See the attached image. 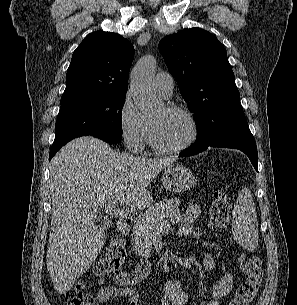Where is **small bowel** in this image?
Instances as JSON below:
<instances>
[{
	"mask_svg": "<svg viewBox=\"0 0 297 305\" xmlns=\"http://www.w3.org/2000/svg\"><path fill=\"white\" fill-rule=\"evenodd\" d=\"M201 215V210L196 205L187 208L184 219L179 227L178 233L181 237L189 236L195 221ZM231 243L239 244V239L232 234L229 237ZM204 263L208 268L215 267L213 256L209 252L204 253ZM151 270L148 261L138 263L133 271H122L113 276L115 286H102L95 294V305H103L111 300L126 299L127 305H138L139 294L133 287L147 278ZM234 277L226 274L220 277L212 286L210 298L200 305H220L232 291ZM188 295L178 279H169L164 286V294L160 299V305H188Z\"/></svg>",
	"mask_w": 297,
	"mask_h": 305,
	"instance_id": "1",
	"label": "small bowel"
}]
</instances>
